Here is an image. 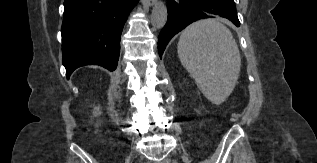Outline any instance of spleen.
<instances>
[{
	"instance_id": "spleen-1",
	"label": "spleen",
	"mask_w": 317,
	"mask_h": 163,
	"mask_svg": "<svg viewBox=\"0 0 317 163\" xmlns=\"http://www.w3.org/2000/svg\"><path fill=\"white\" fill-rule=\"evenodd\" d=\"M177 49L183 67L205 97L216 105L223 103L233 91L241 67L230 30L215 19L197 21L182 32Z\"/></svg>"
}]
</instances>
